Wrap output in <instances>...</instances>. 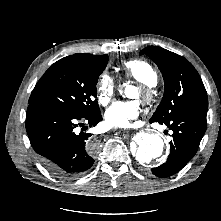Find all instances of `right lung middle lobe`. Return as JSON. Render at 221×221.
Returning a JSON list of instances; mask_svg holds the SVG:
<instances>
[{"mask_svg":"<svg viewBox=\"0 0 221 221\" xmlns=\"http://www.w3.org/2000/svg\"><path fill=\"white\" fill-rule=\"evenodd\" d=\"M107 62L108 55L95 60L62 58L38 81L29 104L56 107L82 117L99 114L96 84Z\"/></svg>","mask_w":221,"mask_h":221,"instance_id":"dd1d6c3e","label":"right lung middle lobe"}]
</instances>
